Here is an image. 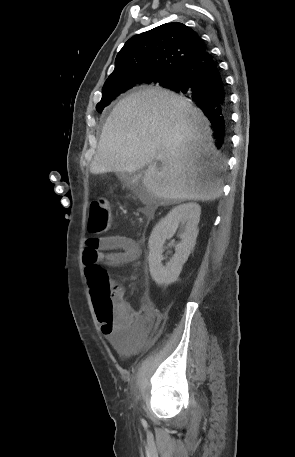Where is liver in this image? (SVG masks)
<instances>
[{"label":"liver","instance_id":"liver-1","mask_svg":"<svg viewBox=\"0 0 295 457\" xmlns=\"http://www.w3.org/2000/svg\"><path fill=\"white\" fill-rule=\"evenodd\" d=\"M209 125L200 109L174 92L154 88L133 93L107 118L90 172L134 173L147 165L142 182L151 195L215 200L222 193L216 176L221 164Z\"/></svg>","mask_w":295,"mask_h":457}]
</instances>
